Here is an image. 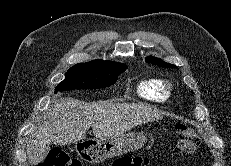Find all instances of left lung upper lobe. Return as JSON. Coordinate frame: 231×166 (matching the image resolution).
Here are the masks:
<instances>
[{"label": "left lung upper lobe", "instance_id": "5c2ea615", "mask_svg": "<svg viewBox=\"0 0 231 166\" xmlns=\"http://www.w3.org/2000/svg\"><path fill=\"white\" fill-rule=\"evenodd\" d=\"M146 62H150L154 65H158L160 67H176L175 65L173 64H170V63H166L164 61H162L161 59L159 58H155V57H152V56H148L146 59H145Z\"/></svg>", "mask_w": 231, "mask_h": 166}]
</instances>
